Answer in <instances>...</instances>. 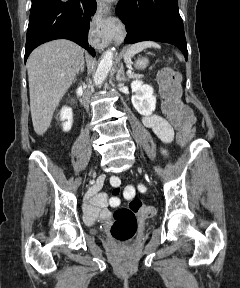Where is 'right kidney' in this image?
<instances>
[{
	"instance_id": "1",
	"label": "right kidney",
	"mask_w": 240,
	"mask_h": 288,
	"mask_svg": "<svg viewBox=\"0 0 240 288\" xmlns=\"http://www.w3.org/2000/svg\"><path fill=\"white\" fill-rule=\"evenodd\" d=\"M60 120L63 122L62 127L64 132H68L73 123V112L69 107H63L60 111Z\"/></svg>"
}]
</instances>
